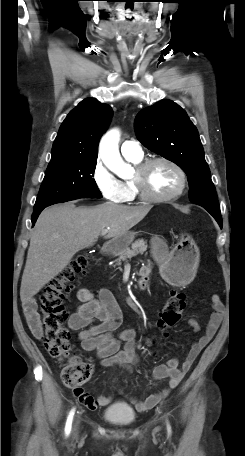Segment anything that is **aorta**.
I'll use <instances>...</instances> for the list:
<instances>
[{"instance_id": "1", "label": "aorta", "mask_w": 245, "mask_h": 456, "mask_svg": "<svg viewBox=\"0 0 245 456\" xmlns=\"http://www.w3.org/2000/svg\"><path fill=\"white\" fill-rule=\"evenodd\" d=\"M120 132L118 129L108 131L101 139L99 154L106 167L120 177L126 176L129 165L123 161L119 153Z\"/></svg>"}]
</instances>
